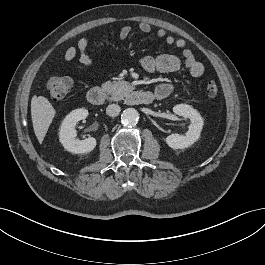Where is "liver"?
I'll use <instances>...</instances> for the list:
<instances>
[{"mask_svg": "<svg viewBox=\"0 0 265 265\" xmlns=\"http://www.w3.org/2000/svg\"><path fill=\"white\" fill-rule=\"evenodd\" d=\"M55 109L50 101L43 96L34 95L31 100V118L34 133L41 144L55 116Z\"/></svg>", "mask_w": 265, "mask_h": 265, "instance_id": "obj_1", "label": "liver"}]
</instances>
